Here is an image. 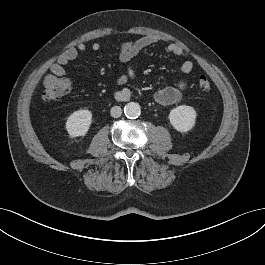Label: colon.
<instances>
[{"label": "colon", "instance_id": "1", "mask_svg": "<svg viewBox=\"0 0 265 265\" xmlns=\"http://www.w3.org/2000/svg\"><path fill=\"white\" fill-rule=\"evenodd\" d=\"M69 81L54 74L47 75L43 81L42 98L45 102H52L66 95L69 91ZM198 88L202 92L211 90V83L206 77H200Z\"/></svg>", "mask_w": 265, "mask_h": 265}]
</instances>
